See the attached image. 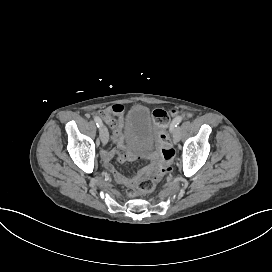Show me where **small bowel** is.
I'll return each mask as SVG.
<instances>
[{"mask_svg": "<svg viewBox=\"0 0 272 272\" xmlns=\"http://www.w3.org/2000/svg\"><path fill=\"white\" fill-rule=\"evenodd\" d=\"M103 119L106 124L111 128V149L102 152V159L104 161V166L108 172H110L115 181L118 183L117 173L119 172L112 160L115 159L117 162L123 164L126 162H131L140 158L144 160H149L151 162L155 161L158 157L154 153L147 150L142 152H128L125 142H124V107L120 104H115L107 107L103 112ZM147 168V166L143 167Z\"/></svg>", "mask_w": 272, "mask_h": 272, "instance_id": "small-bowel-1", "label": "small bowel"}]
</instances>
